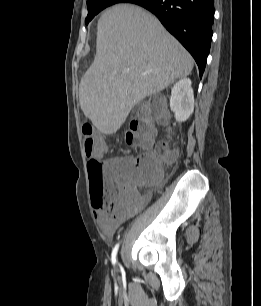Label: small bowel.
<instances>
[{"instance_id":"c3829d8e","label":"small bowel","mask_w":261,"mask_h":306,"mask_svg":"<svg viewBox=\"0 0 261 306\" xmlns=\"http://www.w3.org/2000/svg\"><path fill=\"white\" fill-rule=\"evenodd\" d=\"M123 159L130 160L132 157L113 158L109 159L108 163ZM150 195V192H146L142 196L136 195L132 202H125L117 210L112 212H107L104 210L96 211L94 213V217L98 222L101 231L106 236H112L126 219H128L149 200Z\"/></svg>"}]
</instances>
